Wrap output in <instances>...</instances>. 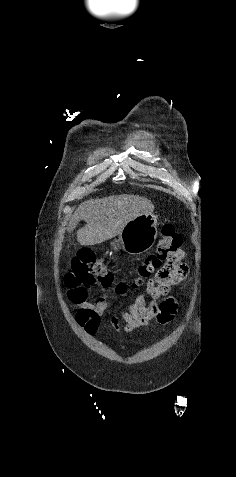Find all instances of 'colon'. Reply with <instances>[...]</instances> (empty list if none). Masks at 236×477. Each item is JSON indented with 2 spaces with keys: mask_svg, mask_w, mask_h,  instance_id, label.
Returning <instances> with one entry per match:
<instances>
[{
  "mask_svg": "<svg viewBox=\"0 0 236 477\" xmlns=\"http://www.w3.org/2000/svg\"><path fill=\"white\" fill-rule=\"evenodd\" d=\"M181 235L172 224L162 228V238L154 253L139 266L137 277L130 282L115 284L114 273L108 263L93 250L81 249L74 257L71 270L65 276L68 296L73 302L87 298L88 291L96 285L110 288L115 285L119 296L139 290L145 279L154 275L155 287L168 293L172 283L182 275Z\"/></svg>",
  "mask_w": 236,
  "mask_h": 477,
  "instance_id": "obj_1",
  "label": "colon"
}]
</instances>
